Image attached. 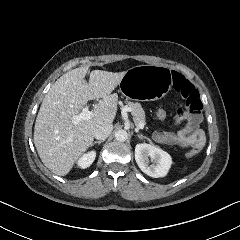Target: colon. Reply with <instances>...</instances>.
I'll list each match as a JSON object with an SVG mask.
<instances>
[{"instance_id":"1","label":"colon","mask_w":240,"mask_h":240,"mask_svg":"<svg viewBox=\"0 0 240 240\" xmlns=\"http://www.w3.org/2000/svg\"><path fill=\"white\" fill-rule=\"evenodd\" d=\"M174 83L176 84V89L180 91L183 100L188 101V118L193 121L194 124H199L202 120V109L203 103L200 99L199 92L187 79L181 74H176L174 76ZM157 118L160 120L167 119V112L159 108L157 111ZM200 136V135H199ZM198 148H202V141L197 139L193 140L190 144V151H186V158H191V154H194Z\"/></svg>"}]
</instances>
